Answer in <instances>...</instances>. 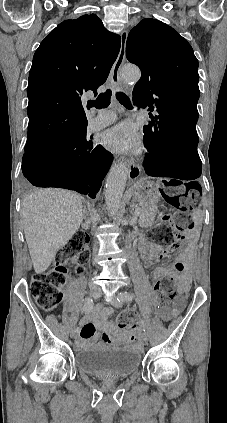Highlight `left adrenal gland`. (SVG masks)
<instances>
[{"instance_id":"left-adrenal-gland-1","label":"left adrenal gland","mask_w":227,"mask_h":423,"mask_svg":"<svg viewBox=\"0 0 227 423\" xmlns=\"http://www.w3.org/2000/svg\"><path fill=\"white\" fill-rule=\"evenodd\" d=\"M134 210H135V204H131L129 211H131V213H133Z\"/></svg>"}]
</instances>
